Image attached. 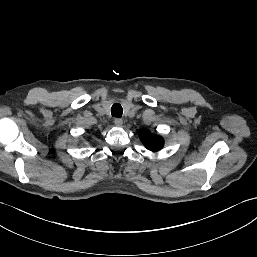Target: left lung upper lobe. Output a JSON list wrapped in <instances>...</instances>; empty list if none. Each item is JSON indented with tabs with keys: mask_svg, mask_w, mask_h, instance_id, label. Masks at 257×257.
I'll use <instances>...</instances> for the list:
<instances>
[{
	"mask_svg": "<svg viewBox=\"0 0 257 257\" xmlns=\"http://www.w3.org/2000/svg\"><path fill=\"white\" fill-rule=\"evenodd\" d=\"M140 139L146 148L151 151L160 150L164 145L162 137L152 134L146 129L140 132Z\"/></svg>",
	"mask_w": 257,
	"mask_h": 257,
	"instance_id": "obj_1",
	"label": "left lung upper lobe"
}]
</instances>
